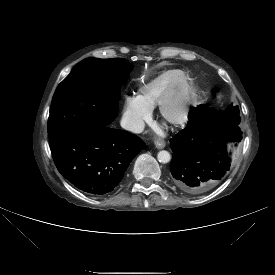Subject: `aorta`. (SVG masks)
<instances>
[{
  "label": "aorta",
  "mask_w": 275,
  "mask_h": 275,
  "mask_svg": "<svg viewBox=\"0 0 275 275\" xmlns=\"http://www.w3.org/2000/svg\"><path fill=\"white\" fill-rule=\"evenodd\" d=\"M157 159L160 163L165 164V163H168L171 160V155L168 151L162 150V151L158 152Z\"/></svg>",
  "instance_id": "obj_1"
}]
</instances>
